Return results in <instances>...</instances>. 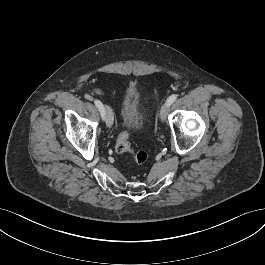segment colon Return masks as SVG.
Instances as JSON below:
<instances>
[{"mask_svg":"<svg viewBox=\"0 0 265 265\" xmlns=\"http://www.w3.org/2000/svg\"><path fill=\"white\" fill-rule=\"evenodd\" d=\"M116 151L121 154H130L133 162L137 166H142L148 160V154L143 150H137L132 147L128 133L123 131L119 134L116 141Z\"/></svg>","mask_w":265,"mask_h":265,"instance_id":"colon-1","label":"colon"}]
</instances>
